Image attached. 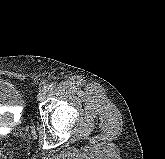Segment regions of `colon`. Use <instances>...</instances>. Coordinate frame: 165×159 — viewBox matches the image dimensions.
I'll return each instance as SVG.
<instances>
[{"mask_svg":"<svg viewBox=\"0 0 165 159\" xmlns=\"http://www.w3.org/2000/svg\"><path fill=\"white\" fill-rule=\"evenodd\" d=\"M11 148V144L10 142H8L7 140H3L0 143V157L2 158V156L7 152V150H9Z\"/></svg>","mask_w":165,"mask_h":159,"instance_id":"1","label":"colon"}]
</instances>
